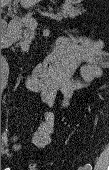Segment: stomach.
<instances>
[{
  "mask_svg": "<svg viewBox=\"0 0 109 170\" xmlns=\"http://www.w3.org/2000/svg\"><path fill=\"white\" fill-rule=\"evenodd\" d=\"M64 1L67 5L73 6L81 3L83 0H64Z\"/></svg>",
  "mask_w": 109,
  "mask_h": 170,
  "instance_id": "0dacf381",
  "label": "stomach"
}]
</instances>
